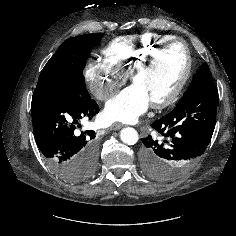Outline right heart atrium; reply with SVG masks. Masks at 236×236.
Here are the masks:
<instances>
[{"label":"right heart atrium","instance_id":"right-heart-atrium-1","mask_svg":"<svg viewBox=\"0 0 236 236\" xmlns=\"http://www.w3.org/2000/svg\"><path fill=\"white\" fill-rule=\"evenodd\" d=\"M84 77L91 93L101 101L115 94L127 78L106 59L90 60L85 66Z\"/></svg>","mask_w":236,"mask_h":236}]
</instances>
